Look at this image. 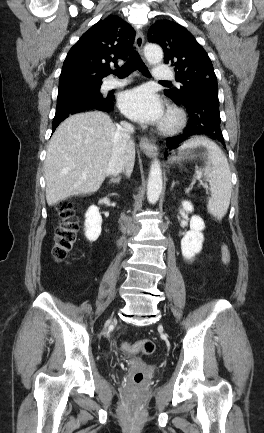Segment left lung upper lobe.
Wrapping results in <instances>:
<instances>
[{"instance_id": "5c2ea615", "label": "left lung upper lobe", "mask_w": 264, "mask_h": 433, "mask_svg": "<svg viewBox=\"0 0 264 433\" xmlns=\"http://www.w3.org/2000/svg\"><path fill=\"white\" fill-rule=\"evenodd\" d=\"M148 38L161 45L164 62L175 67L176 81L182 84L180 89L164 91L169 98L175 102L197 95L218 99L212 62L185 27L169 20L157 21L149 29Z\"/></svg>"}]
</instances>
